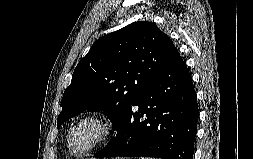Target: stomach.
Here are the masks:
<instances>
[{"label": "stomach", "instance_id": "0dacf381", "mask_svg": "<svg viewBox=\"0 0 253 159\" xmlns=\"http://www.w3.org/2000/svg\"><path fill=\"white\" fill-rule=\"evenodd\" d=\"M115 159H125V158L118 157V158H115Z\"/></svg>", "mask_w": 253, "mask_h": 159}]
</instances>
